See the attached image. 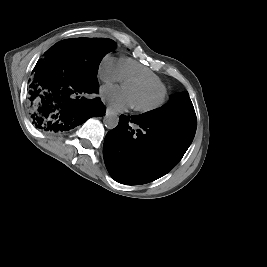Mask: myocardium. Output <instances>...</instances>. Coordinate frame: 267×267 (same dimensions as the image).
Here are the masks:
<instances>
[{
  "mask_svg": "<svg viewBox=\"0 0 267 267\" xmlns=\"http://www.w3.org/2000/svg\"><path fill=\"white\" fill-rule=\"evenodd\" d=\"M127 82H137V83L147 84V85L151 86L153 89L158 90V92H159V96H158L156 101H154L151 104L144 105V106L133 105L134 110H136L138 112H150V111H153V110L159 108L164 103L165 98H166V90L163 89V87L161 85L156 84V83H152V82L145 80L143 78H140V77H131V78L127 79L126 83Z\"/></svg>",
  "mask_w": 267,
  "mask_h": 267,
  "instance_id": "1",
  "label": "myocardium"
}]
</instances>
